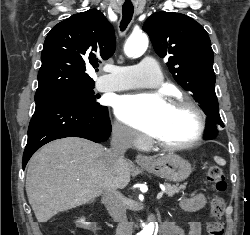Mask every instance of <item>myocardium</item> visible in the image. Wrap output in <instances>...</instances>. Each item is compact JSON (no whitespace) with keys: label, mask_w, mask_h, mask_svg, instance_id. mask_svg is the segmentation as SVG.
<instances>
[{"label":"myocardium","mask_w":250,"mask_h":235,"mask_svg":"<svg viewBox=\"0 0 250 235\" xmlns=\"http://www.w3.org/2000/svg\"><path fill=\"white\" fill-rule=\"evenodd\" d=\"M170 107L178 108L184 107L191 110L197 120V129L194 136L186 142L183 143H165L156 137H152V141L159 148L166 151H178L192 148L198 145L204 137L206 131V116L203 109L199 106V104L189 97H178L170 101L168 104Z\"/></svg>","instance_id":"1"}]
</instances>
